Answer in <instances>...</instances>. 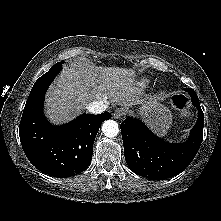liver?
<instances>
[{
  "label": "liver",
  "mask_w": 221,
  "mask_h": 221,
  "mask_svg": "<svg viewBox=\"0 0 221 221\" xmlns=\"http://www.w3.org/2000/svg\"><path fill=\"white\" fill-rule=\"evenodd\" d=\"M134 77V70L127 68L82 63L64 66L46 93L45 113L54 124H62L93 101L126 106L141 103L132 96Z\"/></svg>",
  "instance_id": "liver-1"
}]
</instances>
